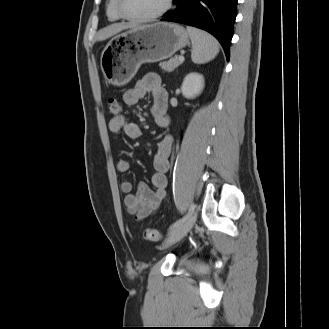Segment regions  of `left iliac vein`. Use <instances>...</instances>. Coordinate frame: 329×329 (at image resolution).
I'll use <instances>...</instances> for the list:
<instances>
[{"label":"left iliac vein","instance_id":"1","mask_svg":"<svg viewBox=\"0 0 329 329\" xmlns=\"http://www.w3.org/2000/svg\"><path fill=\"white\" fill-rule=\"evenodd\" d=\"M197 219V212L193 211L189 217L179 226L174 228L163 243V247H168L180 241L193 228Z\"/></svg>","mask_w":329,"mask_h":329}]
</instances>
